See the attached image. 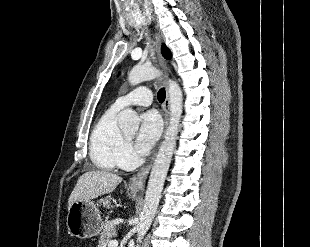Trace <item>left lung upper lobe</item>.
<instances>
[{
  "label": "left lung upper lobe",
  "instance_id": "5c2ea615",
  "mask_svg": "<svg viewBox=\"0 0 310 247\" xmlns=\"http://www.w3.org/2000/svg\"><path fill=\"white\" fill-rule=\"evenodd\" d=\"M162 53H163V56L166 59H170L171 58V53H170L169 49L165 45L162 46Z\"/></svg>",
  "mask_w": 310,
  "mask_h": 247
}]
</instances>
